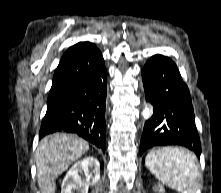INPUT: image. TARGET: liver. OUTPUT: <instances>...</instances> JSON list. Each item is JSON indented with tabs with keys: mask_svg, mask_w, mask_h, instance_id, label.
<instances>
[{
	"mask_svg": "<svg viewBox=\"0 0 221 193\" xmlns=\"http://www.w3.org/2000/svg\"><path fill=\"white\" fill-rule=\"evenodd\" d=\"M89 150L85 140L69 134L44 137L36 151L37 182L41 193H55V179Z\"/></svg>",
	"mask_w": 221,
	"mask_h": 193,
	"instance_id": "1",
	"label": "liver"
}]
</instances>
